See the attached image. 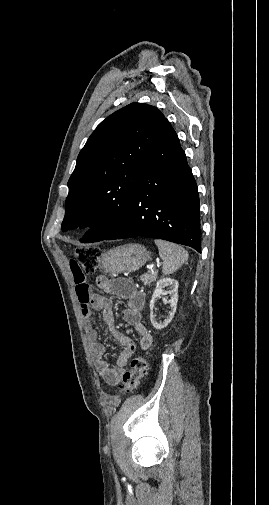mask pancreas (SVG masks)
<instances>
[{"mask_svg": "<svg viewBox=\"0 0 269 505\" xmlns=\"http://www.w3.org/2000/svg\"><path fill=\"white\" fill-rule=\"evenodd\" d=\"M158 278V271H149L148 273L140 276L141 281L144 285H150L152 282L156 281Z\"/></svg>", "mask_w": 269, "mask_h": 505, "instance_id": "obj_1", "label": "pancreas"}]
</instances>
